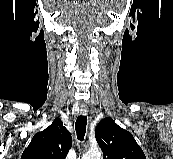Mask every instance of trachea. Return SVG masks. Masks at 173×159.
Wrapping results in <instances>:
<instances>
[{
  "instance_id": "1",
  "label": "trachea",
  "mask_w": 173,
  "mask_h": 159,
  "mask_svg": "<svg viewBox=\"0 0 173 159\" xmlns=\"http://www.w3.org/2000/svg\"><path fill=\"white\" fill-rule=\"evenodd\" d=\"M86 126H87V117L84 115L78 116L75 123V130L77 133V137L80 141L84 140V136L86 133Z\"/></svg>"
}]
</instances>
